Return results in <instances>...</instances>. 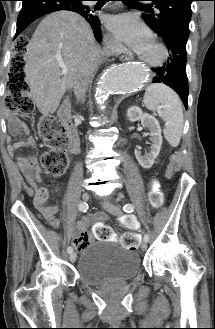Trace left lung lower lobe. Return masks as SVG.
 <instances>
[{
    "label": "left lung lower lobe",
    "instance_id": "0a47b994",
    "mask_svg": "<svg viewBox=\"0 0 215 329\" xmlns=\"http://www.w3.org/2000/svg\"><path fill=\"white\" fill-rule=\"evenodd\" d=\"M170 52V58L163 67L155 68L153 83H164L180 96L188 107V79L186 74V44L188 37L174 29H165L158 34Z\"/></svg>",
    "mask_w": 215,
    "mask_h": 329
}]
</instances>
